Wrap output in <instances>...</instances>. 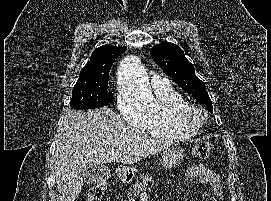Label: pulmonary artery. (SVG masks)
<instances>
[{
    "mask_svg": "<svg viewBox=\"0 0 271 201\" xmlns=\"http://www.w3.org/2000/svg\"><path fill=\"white\" fill-rule=\"evenodd\" d=\"M168 79L161 75H154L151 79V83L154 87L168 85Z\"/></svg>",
    "mask_w": 271,
    "mask_h": 201,
    "instance_id": "1",
    "label": "pulmonary artery"
}]
</instances>
